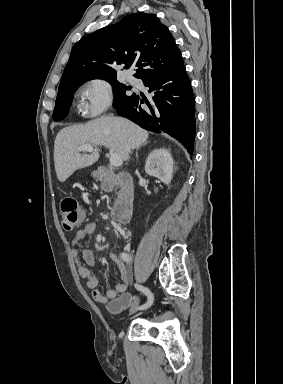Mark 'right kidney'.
I'll use <instances>...</instances> for the list:
<instances>
[{"label": "right kidney", "mask_w": 283, "mask_h": 384, "mask_svg": "<svg viewBox=\"0 0 283 384\" xmlns=\"http://www.w3.org/2000/svg\"><path fill=\"white\" fill-rule=\"evenodd\" d=\"M148 176H154L163 184H170L173 174V160L165 148H158L149 154L145 166Z\"/></svg>", "instance_id": "obj_1"}]
</instances>
